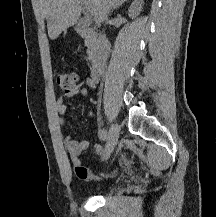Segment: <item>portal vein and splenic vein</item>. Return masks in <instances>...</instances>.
I'll list each match as a JSON object with an SVG mask.
<instances>
[{
  "mask_svg": "<svg viewBox=\"0 0 216 217\" xmlns=\"http://www.w3.org/2000/svg\"><path fill=\"white\" fill-rule=\"evenodd\" d=\"M85 6V9H86V12L89 14V15H93V11L91 9V7L89 6V4L86 2V1H83L82 2Z\"/></svg>",
  "mask_w": 216,
  "mask_h": 217,
  "instance_id": "1",
  "label": "portal vein and splenic vein"
}]
</instances>
